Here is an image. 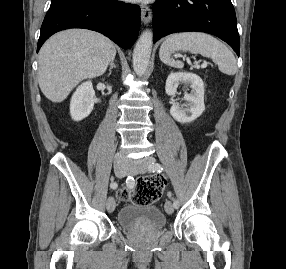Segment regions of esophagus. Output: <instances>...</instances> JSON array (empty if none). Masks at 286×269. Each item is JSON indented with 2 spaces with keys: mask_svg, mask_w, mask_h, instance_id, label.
I'll return each instance as SVG.
<instances>
[{
  "mask_svg": "<svg viewBox=\"0 0 286 269\" xmlns=\"http://www.w3.org/2000/svg\"><path fill=\"white\" fill-rule=\"evenodd\" d=\"M141 20L144 24H149L152 20V11L149 6L141 7Z\"/></svg>",
  "mask_w": 286,
  "mask_h": 269,
  "instance_id": "obj_1",
  "label": "esophagus"
}]
</instances>
